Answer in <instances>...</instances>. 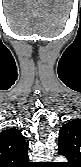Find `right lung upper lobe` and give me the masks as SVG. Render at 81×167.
<instances>
[{"label":"right lung upper lobe","instance_id":"cb5924a9","mask_svg":"<svg viewBox=\"0 0 81 167\" xmlns=\"http://www.w3.org/2000/svg\"><path fill=\"white\" fill-rule=\"evenodd\" d=\"M28 146L20 131L10 128L0 133V167H27Z\"/></svg>","mask_w":81,"mask_h":167}]
</instances>
